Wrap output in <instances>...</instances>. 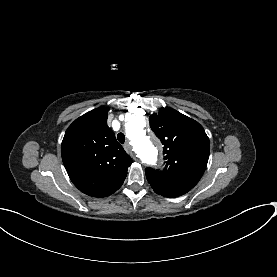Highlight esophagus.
<instances>
[{
    "instance_id": "34e87169",
    "label": "esophagus",
    "mask_w": 277,
    "mask_h": 277,
    "mask_svg": "<svg viewBox=\"0 0 277 277\" xmlns=\"http://www.w3.org/2000/svg\"><path fill=\"white\" fill-rule=\"evenodd\" d=\"M124 149L127 151V152H131L132 151V147L129 143V141H127L125 144H124ZM134 160H137L135 156H133Z\"/></svg>"
}]
</instances>
